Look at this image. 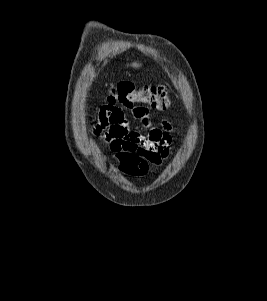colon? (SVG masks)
Here are the masks:
<instances>
[{"label":"colon","mask_w":267,"mask_h":301,"mask_svg":"<svg viewBox=\"0 0 267 301\" xmlns=\"http://www.w3.org/2000/svg\"><path fill=\"white\" fill-rule=\"evenodd\" d=\"M108 100L125 106L145 103L159 110H164L169 105L168 91L164 86L147 85L137 88L131 82H121L110 89Z\"/></svg>","instance_id":"obj_1"}]
</instances>
